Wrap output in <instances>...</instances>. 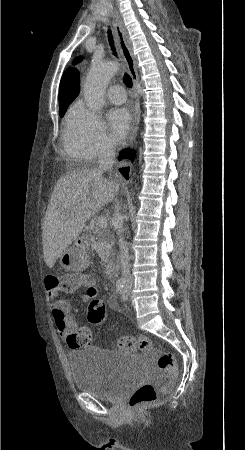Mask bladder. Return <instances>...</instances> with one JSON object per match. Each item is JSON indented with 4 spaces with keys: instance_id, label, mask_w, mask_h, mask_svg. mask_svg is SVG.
<instances>
[{
    "instance_id": "1",
    "label": "bladder",
    "mask_w": 245,
    "mask_h": 450,
    "mask_svg": "<svg viewBox=\"0 0 245 450\" xmlns=\"http://www.w3.org/2000/svg\"><path fill=\"white\" fill-rule=\"evenodd\" d=\"M66 357L75 389L100 400L119 399L138 387L147 372L139 355L97 346L69 351Z\"/></svg>"
}]
</instances>
